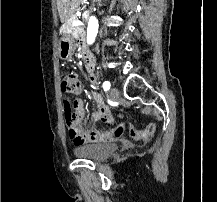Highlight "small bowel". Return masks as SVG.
Segmentation results:
<instances>
[{"instance_id":"obj_1","label":"small bowel","mask_w":217,"mask_h":202,"mask_svg":"<svg viewBox=\"0 0 217 202\" xmlns=\"http://www.w3.org/2000/svg\"><path fill=\"white\" fill-rule=\"evenodd\" d=\"M88 83L94 85L96 83V78H90L88 76ZM90 97L93 101L95 110L89 118H85L86 107L83 99L76 98L71 104L68 102L71 110H73L72 116H75L76 118L74 121L75 128L73 131L69 132L70 142L75 147L112 142L121 135L116 132V129L105 131L104 128L94 127V123L99 120L113 125L116 123L117 117L111 109L104 104L100 94L92 92Z\"/></svg>"}]
</instances>
